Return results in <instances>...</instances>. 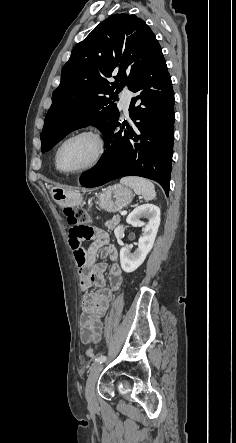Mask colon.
I'll list each match as a JSON object with an SVG mask.
<instances>
[{
  "label": "colon",
  "mask_w": 236,
  "mask_h": 443,
  "mask_svg": "<svg viewBox=\"0 0 236 443\" xmlns=\"http://www.w3.org/2000/svg\"><path fill=\"white\" fill-rule=\"evenodd\" d=\"M64 215L67 221L73 228L70 233L74 237H80L84 241L90 240L93 234V228L90 226V214L84 208H73L67 207L64 209ZM86 356L93 358L95 356V351L93 348L86 350Z\"/></svg>",
  "instance_id": "obj_1"
}]
</instances>
